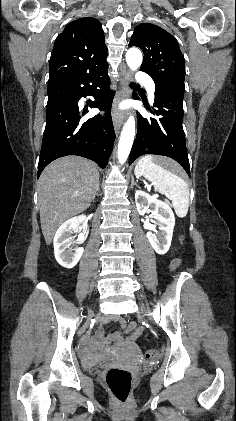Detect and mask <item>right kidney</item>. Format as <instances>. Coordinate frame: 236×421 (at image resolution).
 I'll return each instance as SVG.
<instances>
[{
    "instance_id": "ca27d5eb",
    "label": "right kidney",
    "mask_w": 236,
    "mask_h": 421,
    "mask_svg": "<svg viewBox=\"0 0 236 421\" xmlns=\"http://www.w3.org/2000/svg\"><path fill=\"white\" fill-rule=\"evenodd\" d=\"M87 221L86 215H80V217H73V219H68L66 223H63L59 227L55 237H54V255L57 263L61 267H66V269H73L80 261L84 249L83 247H76L72 249L78 243H75L72 233H77L79 225Z\"/></svg>"
}]
</instances>
